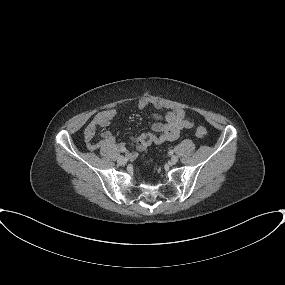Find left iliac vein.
I'll return each mask as SVG.
<instances>
[{
    "mask_svg": "<svg viewBox=\"0 0 285 285\" xmlns=\"http://www.w3.org/2000/svg\"><path fill=\"white\" fill-rule=\"evenodd\" d=\"M177 162H178V157L175 156V155H173V156L171 157V163H172V164H175V163H177Z\"/></svg>",
    "mask_w": 285,
    "mask_h": 285,
    "instance_id": "1",
    "label": "left iliac vein"
}]
</instances>
